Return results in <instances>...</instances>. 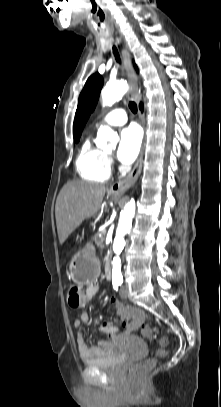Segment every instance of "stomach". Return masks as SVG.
Masks as SVG:
<instances>
[{"label":"stomach","mask_w":221,"mask_h":407,"mask_svg":"<svg viewBox=\"0 0 221 407\" xmlns=\"http://www.w3.org/2000/svg\"><path fill=\"white\" fill-rule=\"evenodd\" d=\"M99 269V261L90 248L79 250L70 261L73 280L79 284L91 283L95 280Z\"/></svg>","instance_id":"stomach-1"}]
</instances>
